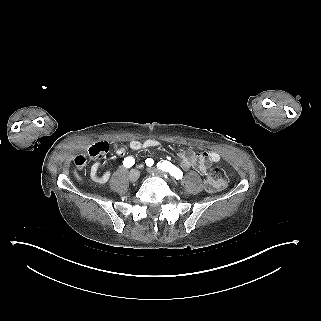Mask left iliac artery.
Listing matches in <instances>:
<instances>
[{"label": "left iliac artery", "mask_w": 321, "mask_h": 321, "mask_svg": "<svg viewBox=\"0 0 321 321\" xmlns=\"http://www.w3.org/2000/svg\"><path fill=\"white\" fill-rule=\"evenodd\" d=\"M145 163H146L147 166H153L154 161L151 158H147ZM157 167L162 171L169 172L170 175L172 177H174L175 179H177V180L178 179H182V177H183V172L179 168H177L176 166H174L173 164H171L168 161H164L162 163H158Z\"/></svg>", "instance_id": "obj_1"}]
</instances>
